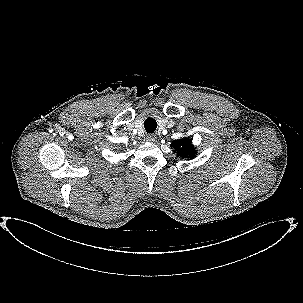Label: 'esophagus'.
I'll list each match as a JSON object with an SVG mask.
<instances>
[{
  "label": "esophagus",
  "mask_w": 303,
  "mask_h": 303,
  "mask_svg": "<svg viewBox=\"0 0 303 303\" xmlns=\"http://www.w3.org/2000/svg\"><path fill=\"white\" fill-rule=\"evenodd\" d=\"M146 139H147V141H149V142H156L157 137H156V135H154V134H148Z\"/></svg>",
  "instance_id": "34e87169"
}]
</instances>
